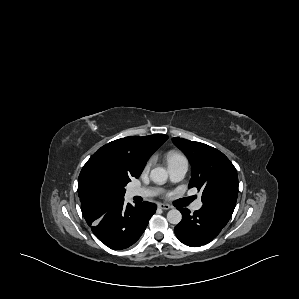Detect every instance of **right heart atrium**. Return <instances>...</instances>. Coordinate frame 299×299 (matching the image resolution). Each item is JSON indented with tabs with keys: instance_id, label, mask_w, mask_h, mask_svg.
I'll use <instances>...</instances> for the list:
<instances>
[{
	"instance_id": "right-heart-atrium-1",
	"label": "right heart atrium",
	"mask_w": 299,
	"mask_h": 299,
	"mask_svg": "<svg viewBox=\"0 0 299 299\" xmlns=\"http://www.w3.org/2000/svg\"><path fill=\"white\" fill-rule=\"evenodd\" d=\"M151 164H152V161L149 160V161L147 162L146 166H145V170H146V171L150 169Z\"/></svg>"
}]
</instances>
